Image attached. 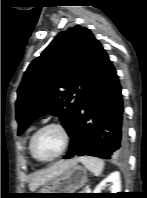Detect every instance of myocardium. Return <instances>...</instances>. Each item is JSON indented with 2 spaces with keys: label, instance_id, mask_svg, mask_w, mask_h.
Instances as JSON below:
<instances>
[{
  "label": "myocardium",
  "instance_id": "f54148a6",
  "mask_svg": "<svg viewBox=\"0 0 147 198\" xmlns=\"http://www.w3.org/2000/svg\"><path fill=\"white\" fill-rule=\"evenodd\" d=\"M48 128H56L60 131L62 138H63V145L57 154H55L54 156H52L50 158L42 159V158L38 157L34 151V140H35L36 136L41 131L48 129ZM69 143H70V133H69L67 127L60 122H49V123H46L43 126L39 127L33 133V135L30 138L29 149H30V153L34 159H36L39 162L47 163V162H52V161L56 160L57 158H59L60 156H62L65 153V151L67 150Z\"/></svg>",
  "mask_w": 147,
  "mask_h": 198
}]
</instances>
